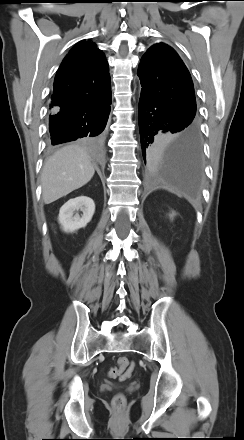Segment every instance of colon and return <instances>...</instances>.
Masks as SVG:
<instances>
[{"mask_svg": "<svg viewBox=\"0 0 244 440\" xmlns=\"http://www.w3.org/2000/svg\"><path fill=\"white\" fill-rule=\"evenodd\" d=\"M134 364L126 357H120L117 365L109 370V375L113 378L120 377L126 379L132 372ZM113 405L116 408H122L126 403V398L122 393H118L113 398Z\"/></svg>", "mask_w": 244, "mask_h": 440, "instance_id": "colon-1", "label": "colon"}]
</instances>
